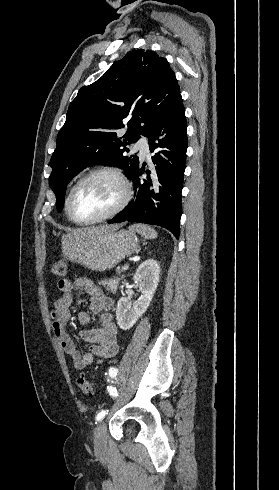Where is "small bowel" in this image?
<instances>
[{"label":"small bowel","mask_w":279,"mask_h":490,"mask_svg":"<svg viewBox=\"0 0 279 490\" xmlns=\"http://www.w3.org/2000/svg\"><path fill=\"white\" fill-rule=\"evenodd\" d=\"M57 287L61 291V297L54 301L50 311L52 331L71 358L74 369H84L94 362L95 357L99 360L114 357L118 351V328L110 314L114 305L113 299L86 278H79L73 282L60 279ZM74 293H83L89 297L88 311H81L78 314L81 325H88L92 314L100 317L99 327L80 331L82 340L90 344L88 352H81L66 330V324L71 318L70 305Z\"/></svg>","instance_id":"small-bowel-1"}]
</instances>
